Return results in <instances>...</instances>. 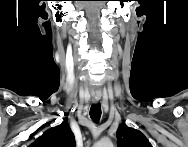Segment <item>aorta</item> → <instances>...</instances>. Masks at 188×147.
Returning <instances> with one entry per match:
<instances>
[{
  "instance_id": "obj_1",
  "label": "aorta",
  "mask_w": 188,
  "mask_h": 147,
  "mask_svg": "<svg viewBox=\"0 0 188 147\" xmlns=\"http://www.w3.org/2000/svg\"><path fill=\"white\" fill-rule=\"evenodd\" d=\"M113 144L109 139H103L98 143V147H112Z\"/></svg>"
}]
</instances>
